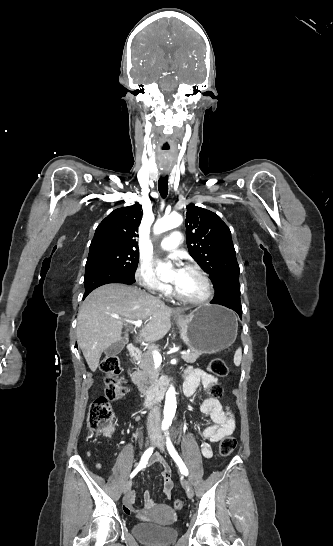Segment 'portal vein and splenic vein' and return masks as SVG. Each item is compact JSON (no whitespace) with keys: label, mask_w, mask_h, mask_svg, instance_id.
Returning a JSON list of instances; mask_svg holds the SVG:
<instances>
[{"label":"portal vein and splenic vein","mask_w":333,"mask_h":546,"mask_svg":"<svg viewBox=\"0 0 333 546\" xmlns=\"http://www.w3.org/2000/svg\"><path fill=\"white\" fill-rule=\"evenodd\" d=\"M125 321L127 323L134 324L136 327H141V325H142V320L141 319H139V320H125ZM187 353H189V351L180 352L181 355H184V354H187ZM152 356H153V359H154L155 363H158V364L162 363V356L157 350L154 349L152 351Z\"/></svg>","instance_id":"portal-vein-and-splenic-vein-1"}]
</instances>
